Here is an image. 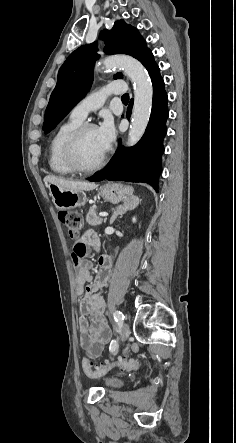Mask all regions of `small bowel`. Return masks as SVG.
Instances as JSON below:
<instances>
[{"label":"small bowel","instance_id":"small-bowel-1","mask_svg":"<svg viewBox=\"0 0 236 443\" xmlns=\"http://www.w3.org/2000/svg\"><path fill=\"white\" fill-rule=\"evenodd\" d=\"M98 251L101 248V242L93 231L84 233L74 244ZM72 261L76 264V293L80 297L79 311L80 316L77 320L79 342L92 358H97L111 338V332L106 322L105 299L99 293L104 287L111 274V260L106 256L99 258L100 268L94 276L91 275L89 264L83 257L77 261L72 256Z\"/></svg>","mask_w":236,"mask_h":443}]
</instances>
